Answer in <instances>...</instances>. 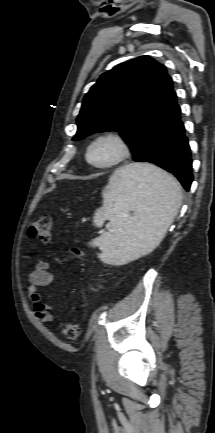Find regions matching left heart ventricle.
Masks as SVG:
<instances>
[{
	"label": "left heart ventricle",
	"mask_w": 215,
	"mask_h": 433,
	"mask_svg": "<svg viewBox=\"0 0 215 433\" xmlns=\"http://www.w3.org/2000/svg\"><path fill=\"white\" fill-rule=\"evenodd\" d=\"M117 154V146L112 141H101L91 150L90 159L95 163L111 161Z\"/></svg>",
	"instance_id": "1"
}]
</instances>
